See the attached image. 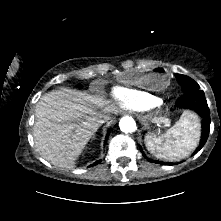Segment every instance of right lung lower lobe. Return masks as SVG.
I'll list each match as a JSON object with an SVG mask.
<instances>
[{
  "label": "right lung lower lobe",
  "mask_w": 221,
  "mask_h": 221,
  "mask_svg": "<svg viewBox=\"0 0 221 221\" xmlns=\"http://www.w3.org/2000/svg\"><path fill=\"white\" fill-rule=\"evenodd\" d=\"M106 139H107V138H106ZM100 162H101V160L95 162L93 165H97V164L100 163Z\"/></svg>",
  "instance_id": "obj_1"
}]
</instances>
